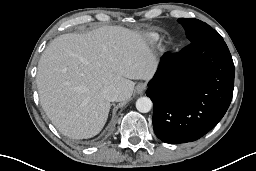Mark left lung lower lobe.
Masks as SVG:
<instances>
[{"label":"left lung lower lobe","mask_w":256,"mask_h":171,"mask_svg":"<svg viewBox=\"0 0 256 171\" xmlns=\"http://www.w3.org/2000/svg\"><path fill=\"white\" fill-rule=\"evenodd\" d=\"M234 72L224 40L197 41L176 55L164 54L146 91L156 136L176 144L210 131L230 105Z\"/></svg>","instance_id":"obj_1"}]
</instances>
